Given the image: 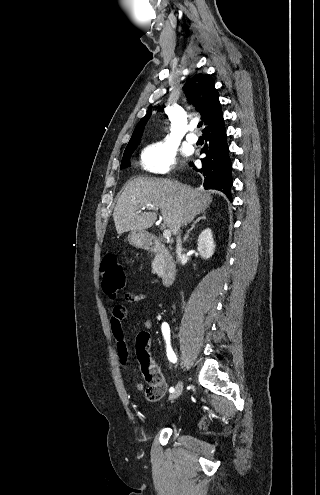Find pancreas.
Wrapping results in <instances>:
<instances>
[{"label": "pancreas", "mask_w": 320, "mask_h": 495, "mask_svg": "<svg viewBox=\"0 0 320 495\" xmlns=\"http://www.w3.org/2000/svg\"><path fill=\"white\" fill-rule=\"evenodd\" d=\"M165 267V261L162 254H157L152 262V272L160 274Z\"/></svg>", "instance_id": "pancreas-1"}]
</instances>
